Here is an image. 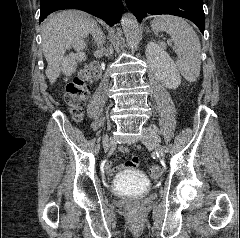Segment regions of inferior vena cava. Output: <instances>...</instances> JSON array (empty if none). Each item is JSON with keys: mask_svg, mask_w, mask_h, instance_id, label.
I'll use <instances>...</instances> for the list:
<instances>
[{"mask_svg": "<svg viewBox=\"0 0 240 238\" xmlns=\"http://www.w3.org/2000/svg\"><path fill=\"white\" fill-rule=\"evenodd\" d=\"M93 38L97 44L99 51H103V43H104V36L103 33L99 29H94L92 31Z\"/></svg>", "mask_w": 240, "mask_h": 238, "instance_id": "1", "label": "inferior vena cava"}]
</instances>
